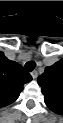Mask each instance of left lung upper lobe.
<instances>
[{
    "label": "left lung upper lobe",
    "mask_w": 63,
    "mask_h": 123,
    "mask_svg": "<svg viewBox=\"0 0 63 123\" xmlns=\"http://www.w3.org/2000/svg\"><path fill=\"white\" fill-rule=\"evenodd\" d=\"M38 83L42 87L46 105L54 112H61L63 106V67L59 62L48 66L39 76Z\"/></svg>",
    "instance_id": "obj_1"
}]
</instances>
